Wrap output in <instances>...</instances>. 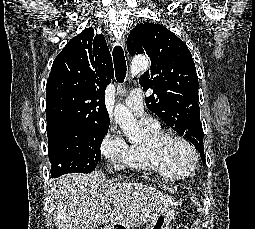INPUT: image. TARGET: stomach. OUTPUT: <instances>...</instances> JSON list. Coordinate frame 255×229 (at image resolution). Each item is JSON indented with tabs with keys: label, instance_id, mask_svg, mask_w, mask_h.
<instances>
[{
	"label": "stomach",
	"instance_id": "1",
	"mask_svg": "<svg viewBox=\"0 0 255 229\" xmlns=\"http://www.w3.org/2000/svg\"><path fill=\"white\" fill-rule=\"evenodd\" d=\"M177 203L174 202L169 208L154 215L147 223L145 229H169L171 221L176 215ZM130 229L129 227H125ZM106 229H115L114 226H109Z\"/></svg>",
	"mask_w": 255,
	"mask_h": 229
}]
</instances>
